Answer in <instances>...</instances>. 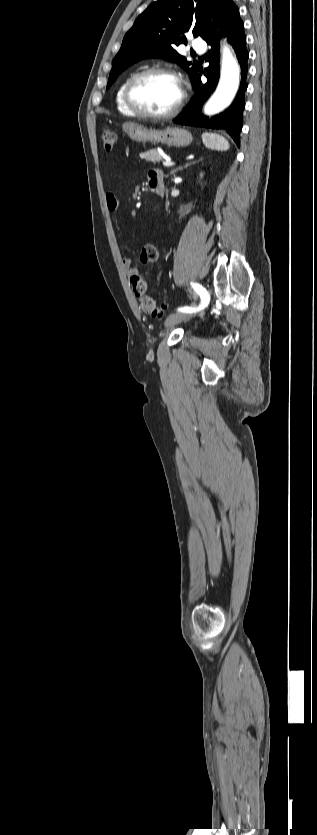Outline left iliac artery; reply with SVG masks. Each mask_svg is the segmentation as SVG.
<instances>
[{
	"label": "left iliac artery",
	"instance_id": "1",
	"mask_svg": "<svg viewBox=\"0 0 317 835\" xmlns=\"http://www.w3.org/2000/svg\"><path fill=\"white\" fill-rule=\"evenodd\" d=\"M191 285H192L193 289L196 291V293L200 296L201 304L197 308L189 307V306H184V307L178 308V311H180V312H196V311H199V310L203 309L205 306H207V304L209 302V294H208L207 290L202 285H200L198 283H192Z\"/></svg>",
	"mask_w": 317,
	"mask_h": 835
}]
</instances>
